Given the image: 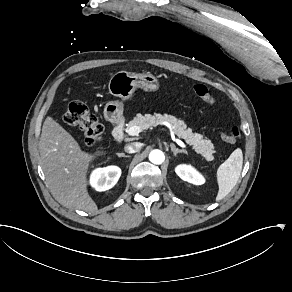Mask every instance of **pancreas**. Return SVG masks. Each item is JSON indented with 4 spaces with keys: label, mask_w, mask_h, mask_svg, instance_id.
Here are the masks:
<instances>
[{
    "label": "pancreas",
    "mask_w": 292,
    "mask_h": 292,
    "mask_svg": "<svg viewBox=\"0 0 292 292\" xmlns=\"http://www.w3.org/2000/svg\"><path fill=\"white\" fill-rule=\"evenodd\" d=\"M162 122H168L174 133L179 138L184 139L187 144L192 145L195 151L205 157L206 160L211 161L214 159L212 155L214 153V145L211 140L204 139L202 134L193 133L191 128H187L184 121L179 120L172 115L155 113L154 115L145 114L143 116L142 114H137L133 120L129 121L126 129L138 126L142 131L151 127H156Z\"/></svg>",
    "instance_id": "pancreas-1"
}]
</instances>
